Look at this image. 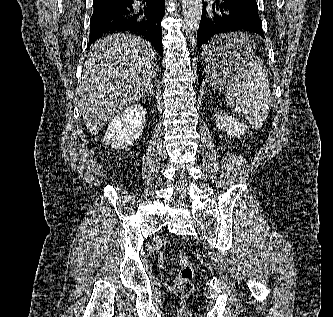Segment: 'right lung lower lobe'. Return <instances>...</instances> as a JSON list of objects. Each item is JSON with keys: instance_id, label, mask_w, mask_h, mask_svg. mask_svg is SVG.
<instances>
[{"instance_id": "right-lung-lower-lobe-1", "label": "right lung lower lobe", "mask_w": 333, "mask_h": 317, "mask_svg": "<svg viewBox=\"0 0 333 317\" xmlns=\"http://www.w3.org/2000/svg\"><path fill=\"white\" fill-rule=\"evenodd\" d=\"M141 1V0H139ZM133 0L93 4L90 19L89 45L110 32L127 31L141 35L163 56L161 21L165 14L164 0H145L146 8H134Z\"/></svg>"}]
</instances>
